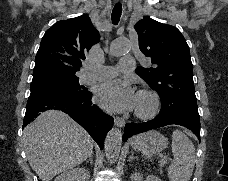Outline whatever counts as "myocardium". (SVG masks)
Listing matches in <instances>:
<instances>
[{
    "label": "myocardium",
    "instance_id": "myocardium-1",
    "mask_svg": "<svg viewBox=\"0 0 228 181\" xmlns=\"http://www.w3.org/2000/svg\"><path fill=\"white\" fill-rule=\"evenodd\" d=\"M146 97L149 100L147 109H142L139 105L136 109V115L143 119H150L154 117L160 106L159 96L152 90H141L138 93V98Z\"/></svg>",
    "mask_w": 228,
    "mask_h": 181
}]
</instances>
